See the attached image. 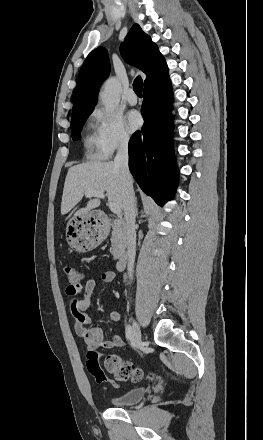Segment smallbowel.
I'll return each mask as SVG.
<instances>
[{
    "mask_svg": "<svg viewBox=\"0 0 263 440\" xmlns=\"http://www.w3.org/2000/svg\"><path fill=\"white\" fill-rule=\"evenodd\" d=\"M101 278L103 283L110 285L114 283L116 273L114 271H106L102 274ZM95 287V279L89 278L83 287L67 288V294L71 297L70 307L74 318L75 332L85 341L90 350L99 347L105 349L121 347L124 344V339L120 334L115 335L111 340H107L101 327L93 325L91 318L87 315V311L92 305V295ZM81 289H83L84 293L83 296L79 298L76 295ZM120 318L121 315L118 311H112L109 314L111 322H118Z\"/></svg>",
    "mask_w": 263,
    "mask_h": 440,
    "instance_id": "1",
    "label": "small bowel"
}]
</instances>
